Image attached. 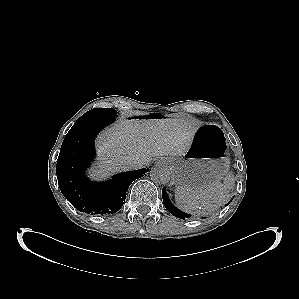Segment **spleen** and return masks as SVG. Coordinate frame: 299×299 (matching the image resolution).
<instances>
[{
    "instance_id": "3e777b00",
    "label": "spleen",
    "mask_w": 299,
    "mask_h": 299,
    "mask_svg": "<svg viewBox=\"0 0 299 299\" xmlns=\"http://www.w3.org/2000/svg\"><path fill=\"white\" fill-rule=\"evenodd\" d=\"M235 185L234 176L228 174L224 182H214L204 188L192 189L178 186L175 201L179 209L194 215H206L224 205Z\"/></svg>"
}]
</instances>
